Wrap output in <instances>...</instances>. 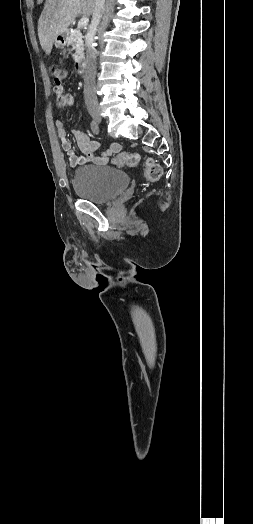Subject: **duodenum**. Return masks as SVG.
Instances as JSON below:
<instances>
[{"label": "duodenum", "instance_id": "obj_1", "mask_svg": "<svg viewBox=\"0 0 253 524\" xmlns=\"http://www.w3.org/2000/svg\"><path fill=\"white\" fill-rule=\"evenodd\" d=\"M75 69L78 73H84L85 71V64L84 60L82 58H78L75 61Z\"/></svg>", "mask_w": 253, "mask_h": 524}]
</instances>
